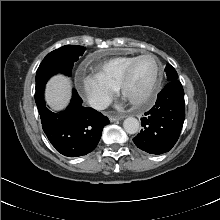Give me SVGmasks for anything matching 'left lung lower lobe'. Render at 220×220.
Returning <instances> with one entry per match:
<instances>
[{
  "instance_id": "1",
  "label": "left lung lower lobe",
  "mask_w": 220,
  "mask_h": 220,
  "mask_svg": "<svg viewBox=\"0 0 220 220\" xmlns=\"http://www.w3.org/2000/svg\"><path fill=\"white\" fill-rule=\"evenodd\" d=\"M141 118L143 129L133 138L135 145L150 154L168 152L177 142L185 119L184 90L176 79L169 81L157 101Z\"/></svg>"
}]
</instances>
